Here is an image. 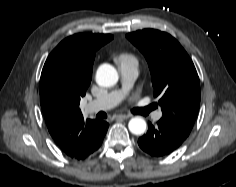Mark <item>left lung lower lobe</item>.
Wrapping results in <instances>:
<instances>
[{
	"mask_svg": "<svg viewBox=\"0 0 236 187\" xmlns=\"http://www.w3.org/2000/svg\"><path fill=\"white\" fill-rule=\"evenodd\" d=\"M188 135L173 124L160 119L155 125L149 124L147 133L139 138L138 144L147 154L160 157L177 149Z\"/></svg>",
	"mask_w": 236,
	"mask_h": 187,
	"instance_id": "1",
	"label": "left lung lower lobe"
}]
</instances>
